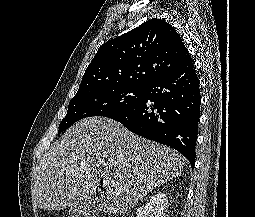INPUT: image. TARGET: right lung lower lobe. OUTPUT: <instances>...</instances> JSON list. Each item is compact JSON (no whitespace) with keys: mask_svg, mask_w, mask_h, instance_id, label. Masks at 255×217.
<instances>
[{"mask_svg":"<svg viewBox=\"0 0 255 217\" xmlns=\"http://www.w3.org/2000/svg\"><path fill=\"white\" fill-rule=\"evenodd\" d=\"M200 102L199 79L191 60L147 85L133 106L106 117L139 136L176 149L193 168Z\"/></svg>","mask_w":255,"mask_h":217,"instance_id":"right-lung-lower-lobe-1","label":"right lung lower lobe"}]
</instances>
